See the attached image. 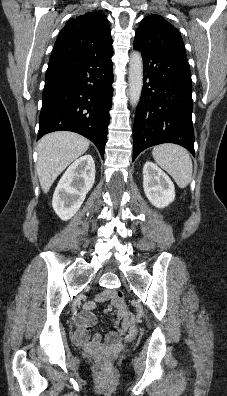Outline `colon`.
<instances>
[{"label": "colon", "instance_id": "5ec220e1", "mask_svg": "<svg viewBox=\"0 0 227 396\" xmlns=\"http://www.w3.org/2000/svg\"><path fill=\"white\" fill-rule=\"evenodd\" d=\"M116 299H117L118 301H120V302L123 301L124 295H123V293H122L121 291H117V293H116Z\"/></svg>", "mask_w": 227, "mask_h": 396}]
</instances>
